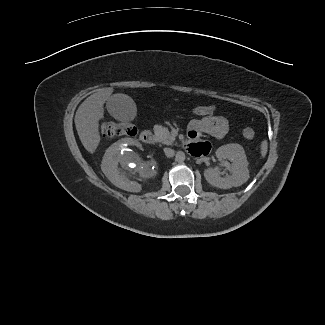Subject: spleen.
Here are the masks:
<instances>
[{"label":"spleen","instance_id":"3e777b00","mask_svg":"<svg viewBox=\"0 0 325 325\" xmlns=\"http://www.w3.org/2000/svg\"><path fill=\"white\" fill-rule=\"evenodd\" d=\"M267 150H268V143H267V140H263L261 142V145H260V153H261V157L262 158H265L266 154H267Z\"/></svg>","mask_w":325,"mask_h":325}]
</instances>
